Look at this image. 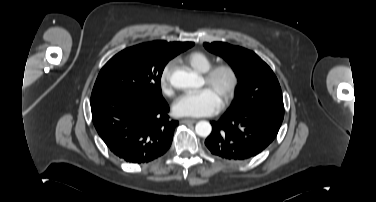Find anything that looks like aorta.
<instances>
[{"label":"aorta","mask_w":376,"mask_h":202,"mask_svg":"<svg viewBox=\"0 0 376 202\" xmlns=\"http://www.w3.org/2000/svg\"><path fill=\"white\" fill-rule=\"evenodd\" d=\"M170 83L174 88L186 89L199 85V77L194 72L176 70L170 78ZM212 126L208 121H199L195 126L196 133L201 137H207L211 133Z\"/></svg>","instance_id":"1"}]
</instances>
